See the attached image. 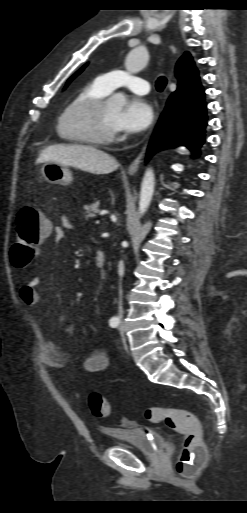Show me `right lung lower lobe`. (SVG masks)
<instances>
[{"label":"right lung lower lobe","mask_w":247,"mask_h":513,"mask_svg":"<svg viewBox=\"0 0 247 513\" xmlns=\"http://www.w3.org/2000/svg\"><path fill=\"white\" fill-rule=\"evenodd\" d=\"M207 103L202 85L176 90L170 96L150 141L147 158L169 146L184 143L198 153L204 142Z\"/></svg>","instance_id":"1"}]
</instances>
